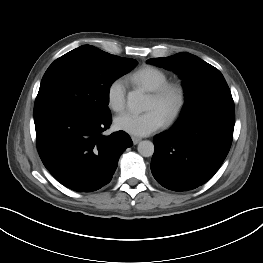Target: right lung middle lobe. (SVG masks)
<instances>
[{"mask_svg":"<svg viewBox=\"0 0 263 263\" xmlns=\"http://www.w3.org/2000/svg\"><path fill=\"white\" fill-rule=\"evenodd\" d=\"M138 62L83 45L55 60L45 72L34 105V117L57 110L110 116L109 89Z\"/></svg>","mask_w":263,"mask_h":263,"instance_id":"1","label":"right lung middle lobe"}]
</instances>
